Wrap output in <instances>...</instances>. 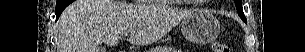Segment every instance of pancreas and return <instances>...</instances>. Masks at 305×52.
Returning a JSON list of instances; mask_svg holds the SVG:
<instances>
[{"label": "pancreas", "mask_w": 305, "mask_h": 52, "mask_svg": "<svg viewBox=\"0 0 305 52\" xmlns=\"http://www.w3.org/2000/svg\"><path fill=\"white\" fill-rule=\"evenodd\" d=\"M171 51V48L168 47H163V48H159L158 50H155V52H169Z\"/></svg>", "instance_id": "obj_1"}]
</instances>
